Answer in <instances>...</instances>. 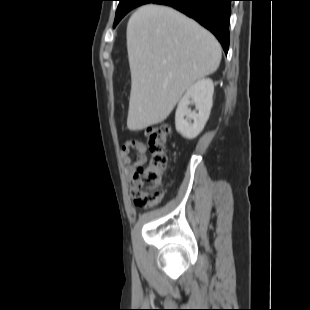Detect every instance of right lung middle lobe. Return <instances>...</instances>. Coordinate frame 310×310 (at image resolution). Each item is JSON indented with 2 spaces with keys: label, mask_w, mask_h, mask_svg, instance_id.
<instances>
[{
  "label": "right lung middle lobe",
  "mask_w": 310,
  "mask_h": 310,
  "mask_svg": "<svg viewBox=\"0 0 310 310\" xmlns=\"http://www.w3.org/2000/svg\"><path fill=\"white\" fill-rule=\"evenodd\" d=\"M119 1L120 3L116 11L114 27L130 10L140 5L151 3L153 0H119Z\"/></svg>",
  "instance_id": "dd1d6c3e"
}]
</instances>
